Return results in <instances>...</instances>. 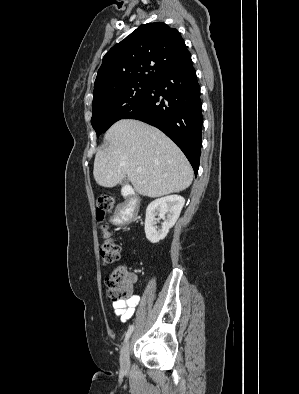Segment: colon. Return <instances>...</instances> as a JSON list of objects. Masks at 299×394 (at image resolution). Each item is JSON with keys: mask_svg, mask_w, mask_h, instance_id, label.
Segmentation results:
<instances>
[{"mask_svg": "<svg viewBox=\"0 0 299 394\" xmlns=\"http://www.w3.org/2000/svg\"><path fill=\"white\" fill-rule=\"evenodd\" d=\"M114 204L115 200L112 196H100L96 201L98 219L103 220L112 212ZM99 255L104 266L114 264L120 256V247L107 228L103 229V242L99 248ZM133 283V274L127 266L122 265L113 271L107 280V287L115 301H127L132 297Z\"/></svg>", "mask_w": 299, "mask_h": 394, "instance_id": "1", "label": "colon"}]
</instances>
